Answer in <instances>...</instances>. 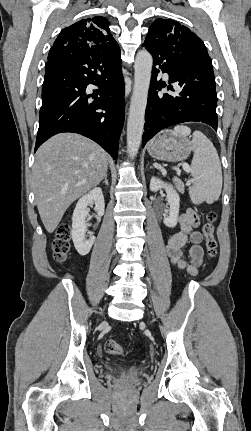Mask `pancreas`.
I'll use <instances>...</instances> for the list:
<instances>
[{
  "mask_svg": "<svg viewBox=\"0 0 251 431\" xmlns=\"http://www.w3.org/2000/svg\"><path fill=\"white\" fill-rule=\"evenodd\" d=\"M173 181H174V183H175V186H176V188H177V190L180 192V193H184V184H183V182L181 181V180H179L178 178H174L173 179Z\"/></svg>",
  "mask_w": 251,
  "mask_h": 431,
  "instance_id": "pancreas-1",
  "label": "pancreas"
}]
</instances>
